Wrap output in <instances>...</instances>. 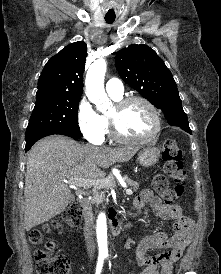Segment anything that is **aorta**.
<instances>
[{"label": "aorta", "mask_w": 221, "mask_h": 274, "mask_svg": "<svg viewBox=\"0 0 221 274\" xmlns=\"http://www.w3.org/2000/svg\"><path fill=\"white\" fill-rule=\"evenodd\" d=\"M106 69V61L104 59H99L91 65L86 74V95L98 109H103L110 103V100L108 99L104 89V77ZM96 232L99 252L101 254H107V221L105 213H100L98 216Z\"/></svg>", "instance_id": "762f6f07"}]
</instances>
